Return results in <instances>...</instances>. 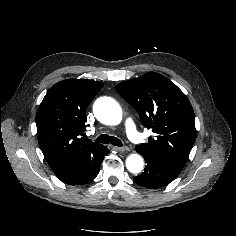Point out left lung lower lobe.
Segmentation results:
<instances>
[{"instance_id":"1","label":"left lung lower lobe","mask_w":236,"mask_h":236,"mask_svg":"<svg viewBox=\"0 0 236 236\" xmlns=\"http://www.w3.org/2000/svg\"><path fill=\"white\" fill-rule=\"evenodd\" d=\"M137 152L143 155L147 163L144 172L134 178L138 185L148 189L162 188L179 175L180 170L168 165L156 155L141 150Z\"/></svg>"}]
</instances>
